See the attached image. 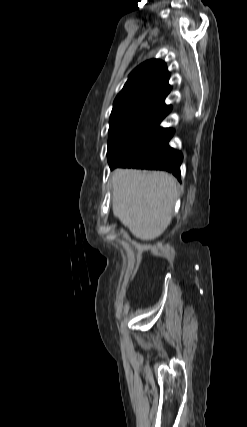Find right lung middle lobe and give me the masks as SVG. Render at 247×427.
Returning <instances> with one entry per match:
<instances>
[{
	"label": "right lung middle lobe",
	"mask_w": 247,
	"mask_h": 427,
	"mask_svg": "<svg viewBox=\"0 0 247 427\" xmlns=\"http://www.w3.org/2000/svg\"><path fill=\"white\" fill-rule=\"evenodd\" d=\"M149 114L140 111H128L111 114L109 139H108V161L115 155L116 151L133 131Z\"/></svg>",
	"instance_id": "obj_1"
}]
</instances>
